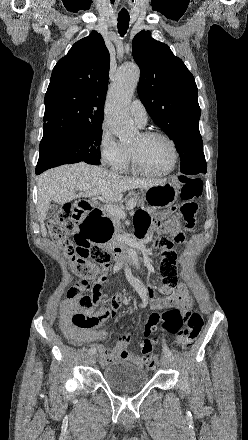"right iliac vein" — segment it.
<instances>
[{"mask_svg": "<svg viewBox=\"0 0 248 440\" xmlns=\"http://www.w3.org/2000/svg\"><path fill=\"white\" fill-rule=\"evenodd\" d=\"M88 362L90 365L95 363V355L90 354V356L88 357Z\"/></svg>", "mask_w": 248, "mask_h": 440, "instance_id": "obj_1", "label": "right iliac vein"}]
</instances>
